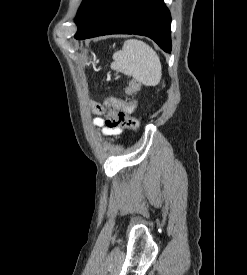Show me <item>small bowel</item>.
Listing matches in <instances>:
<instances>
[{
    "mask_svg": "<svg viewBox=\"0 0 247 275\" xmlns=\"http://www.w3.org/2000/svg\"><path fill=\"white\" fill-rule=\"evenodd\" d=\"M93 123L95 126L99 127L102 129L103 134L108 135V136H118L119 134L122 133V129L121 128H112L109 127L105 120L100 118V117H96L93 120Z\"/></svg>",
    "mask_w": 247,
    "mask_h": 275,
    "instance_id": "obj_1",
    "label": "small bowel"
}]
</instances>
